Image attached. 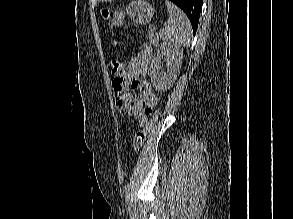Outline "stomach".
<instances>
[{
  "label": "stomach",
  "mask_w": 293,
  "mask_h": 219,
  "mask_svg": "<svg viewBox=\"0 0 293 219\" xmlns=\"http://www.w3.org/2000/svg\"><path fill=\"white\" fill-rule=\"evenodd\" d=\"M154 9L145 0H134L124 10L112 11V15L108 17L109 28L121 27L124 19L128 16L134 23L145 25L150 22L153 17Z\"/></svg>",
  "instance_id": "0dacf381"
}]
</instances>
